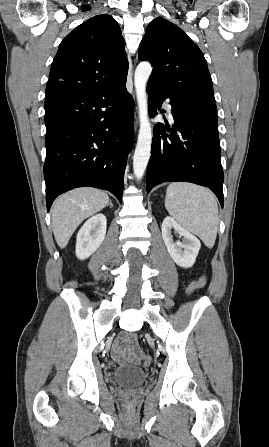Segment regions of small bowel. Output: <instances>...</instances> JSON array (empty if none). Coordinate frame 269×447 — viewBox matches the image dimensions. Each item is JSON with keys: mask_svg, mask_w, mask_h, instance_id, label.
I'll use <instances>...</instances> for the list:
<instances>
[{"mask_svg": "<svg viewBox=\"0 0 269 447\" xmlns=\"http://www.w3.org/2000/svg\"><path fill=\"white\" fill-rule=\"evenodd\" d=\"M138 334L131 332L130 337L126 331H122L119 335V342L112 346V359L123 364L126 362H141L142 351L135 345L133 339H136Z\"/></svg>", "mask_w": 269, "mask_h": 447, "instance_id": "obj_1", "label": "small bowel"}]
</instances>
